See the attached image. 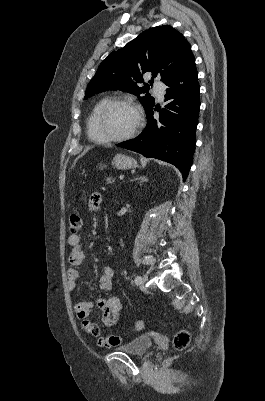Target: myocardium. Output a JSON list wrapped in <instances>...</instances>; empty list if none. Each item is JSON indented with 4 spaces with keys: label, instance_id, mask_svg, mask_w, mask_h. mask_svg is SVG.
<instances>
[{
    "label": "myocardium",
    "instance_id": "f54148a6",
    "mask_svg": "<svg viewBox=\"0 0 265 401\" xmlns=\"http://www.w3.org/2000/svg\"><path fill=\"white\" fill-rule=\"evenodd\" d=\"M117 105H129V106L133 107L136 111V116H137L136 123H135L134 127L124 135L116 136V137L102 136L99 132L100 120L105 112H107L110 108L117 106ZM143 120H144V115H143L141 108L138 105H136L132 100L126 99V98L111 99V100L106 101L96 112V114L92 120L91 130H92V133L96 135V140L98 142H101V143L120 142V141L127 140V139L131 138L132 136H134L138 132L141 125L143 124Z\"/></svg>",
    "mask_w": 265,
    "mask_h": 401
}]
</instances>
